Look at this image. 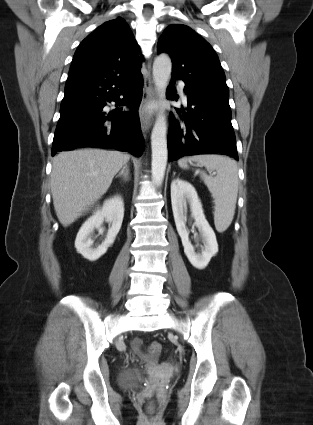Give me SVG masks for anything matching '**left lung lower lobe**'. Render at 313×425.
Returning a JSON list of instances; mask_svg holds the SVG:
<instances>
[{
    "label": "left lung lower lobe",
    "mask_w": 313,
    "mask_h": 425,
    "mask_svg": "<svg viewBox=\"0 0 313 425\" xmlns=\"http://www.w3.org/2000/svg\"><path fill=\"white\" fill-rule=\"evenodd\" d=\"M174 86L170 82L167 92L170 100L175 99ZM185 92L187 112L183 108H175L182 123L176 120L173 113L169 115V161L199 154H222L238 160L229 96L200 91L188 85L185 86Z\"/></svg>",
    "instance_id": "obj_1"
}]
</instances>
